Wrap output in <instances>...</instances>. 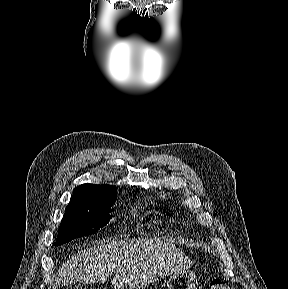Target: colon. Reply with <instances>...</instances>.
Here are the masks:
<instances>
[{
  "instance_id": "colon-1",
  "label": "colon",
  "mask_w": 288,
  "mask_h": 289,
  "mask_svg": "<svg viewBox=\"0 0 288 289\" xmlns=\"http://www.w3.org/2000/svg\"><path fill=\"white\" fill-rule=\"evenodd\" d=\"M210 289H233V288L225 285L221 281H213L211 283Z\"/></svg>"
}]
</instances>
